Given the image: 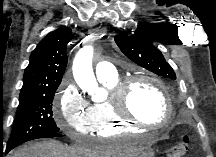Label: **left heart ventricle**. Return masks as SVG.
<instances>
[{
    "instance_id": "obj_1",
    "label": "left heart ventricle",
    "mask_w": 216,
    "mask_h": 157,
    "mask_svg": "<svg viewBox=\"0 0 216 157\" xmlns=\"http://www.w3.org/2000/svg\"><path fill=\"white\" fill-rule=\"evenodd\" d=\"M129 106L132 113L143 121L161 123L166 116L160 90L148 81H139L132 86Z\"/></svg>"
}]
</instances>
